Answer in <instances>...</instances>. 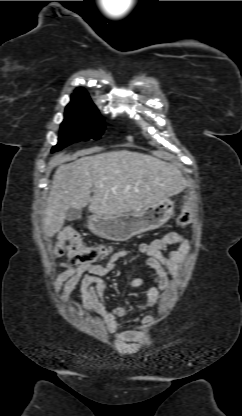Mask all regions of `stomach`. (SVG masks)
Here are the masks:
<instances>
[{"instance_id":"0dacf381","label":"stomach","mask_w":242,"mask_h":416,"mask_svg":"<svg viewBox=\"0 0 242 416\" xmlns=\"http://www.w3.org/2000/svg\"><path fill=\"white\" fill-rule=\"evenodd\" d=\"M173 214L174 202L166 198L136 213L92 215L87 226L93 234L104 239L126 241L135 235L158 229Z\"/></svg>"}]
</instances>
